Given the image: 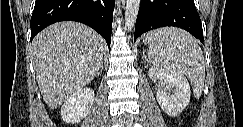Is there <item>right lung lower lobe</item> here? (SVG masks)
I'll return each mask as SVG.
<instances>
[{
    "label": "right lung lower lobe",
    "mask_w": 243,
    "mask_h": 127,
    "mask_svg": "<svg viewBox=\"0 0 243 127\" xmlns=\"http://www.w3.org/2000/svg\"><path fill=\"white\" fill-rule=\"evenodd\" d=\"M115 0H36L31 17V41L45 27L59 21L84 23L111 41Z\"/></svg>",
    "instance_id": "right-lung-lower-lobe-1"
}]
</instances>
